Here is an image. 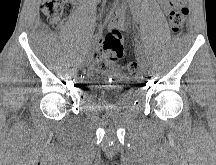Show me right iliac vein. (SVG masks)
<instances>
[{"mask_svg":"<svg viewBox=\"0 0 216 165\" xmlns=\"http://www.w3.org/2000/svg\"><path fill=\"white\" fill-rule=\"evenodd\" d=\"M86 66H87V64H82V65H81V68H82V69H85Z\"/></svg>","mask_w":216,"mask_h":165,"instance_id":"right-iliac-vein-1","label":"right iliac vein"}]
</instances>
